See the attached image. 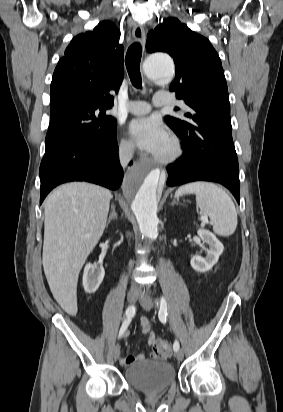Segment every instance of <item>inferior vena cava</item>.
Masks as SVG:
<instances>
[{
  "mask_svg": "<svg viewBox=\"0 0 283 412\" xmlns=\"http://www.w3.org/2000/svg\"><path fill=\"white\" fill-rule=\"evenodd\" d=\"M133 157V146H123L119 150V159L122 167H126Z\"/></svg>",
  "mask_w": 283,
  "mask_h": 412,
  "instance_id": "obj_1",
  "label": "inferior vena cava"
}]
</instances>
